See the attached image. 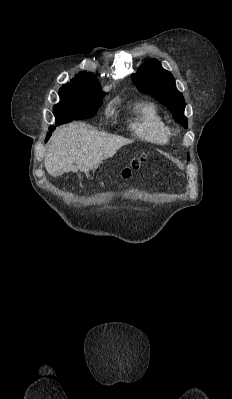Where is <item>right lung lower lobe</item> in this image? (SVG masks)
Returning <instances> with one entry per match:
<instances>
[{
  "mask_svg": "<svg viewBox=\"0 0 232 399\" xmlns=\"http://www.w3.org/2000/svg\"><path fill=\"white\" fill-rule=\"evenodd\" d=\"M71 121H73V120H65V121H59V120H56V125H62V124H65V123H69V122H71ZM55 129V127L54 126H51L50 128H49V130H50V132L47 134V138L45 139V141H47L48 139H49V137L51 136V131H53Z\"/></svg>",
  "mask_w": 232,
  "mask_h": 399,
  "instance_id": "right-lung-lower-lobe-1",
  "label": "right lung lower lobe"
}]
</instances>
